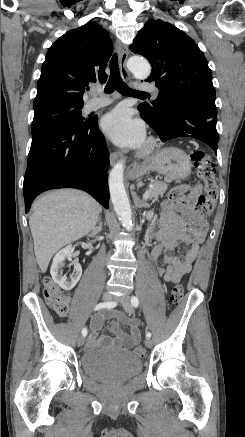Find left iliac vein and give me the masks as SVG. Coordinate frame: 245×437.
Segmentation results:
<instances>
[{
	"mask_svg": "<svg viewBox=\"0 0 245 437\" xmlns=\"http://www.w3.org/2000/svg\"><path fill=\"white\" fill-rule=\"evenodd\" d=\"M116 300H118L121 303L126 313L132 314L134 312V309L132 307V304L128 296L126 295L119 296L116 298ZM145 344L147 347H151L153 345L152 341L149 338L146 339Z\"/></svg>",
	"mask_w": 245,
	"mask_h": 437,
	"instance_id": "1",
	"label": "left iliac vein"
}]
</instances>
